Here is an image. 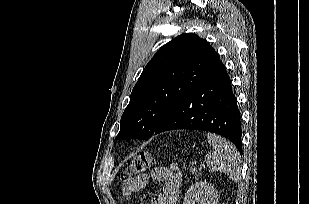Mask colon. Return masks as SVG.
<instances>
[{
  "label": "colon",
  "mask_w": 309,
  "mask_h": 204,
  "mask_svg": "<svg viewBox=\"0 0 309 204\" xmlns=\"http://www.w3.org/2000/svg\"><path fill=\"white\" fill-rule=\"evenodd\" d=\"M154 161L153 155L149 151L139 153L132 159L125 171L122 173V180L128 182L134 177L142 174Z\"/></svg>",
  "instance_id": "5ec220e1"
}]
</instances>
